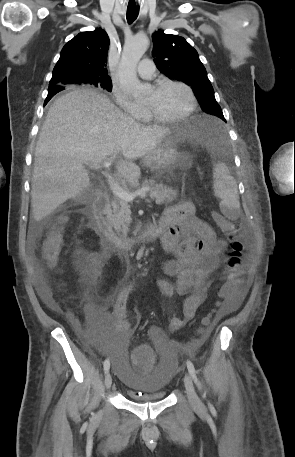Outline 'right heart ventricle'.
<instances>
[{
    "label": "right heart ventricle",
    "instance_id": "right-heart-ventricle-1",
    "mask_svg": "<svg viewBox=\"0 0 295 457\" xmlns=\"http://www.w3.org/2000/svg\"><path fill=\"white\" fill-rule=\"evenodd\" d=\"M142 120H144V121L148 120V116L146 114H144V116L142 117Z\"/></svg>",
    "mask_w": 295,
    "mask_h": 457
}]
</instances>
